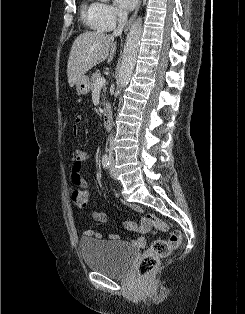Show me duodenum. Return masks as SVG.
<instances>
[{
  "label": "duodenum",
  "instance_id": "410a0bca",
  "mask_svg": "<svg viewBox=\"0 0 245 314\" xmlns=\"http://www.w3.org/2000/svg\"><path fill=\"white\" fill-rule=\"evenodd\" d=\"M112 119V108L109 104H106L103 115V125L105 129L110 130L112 128Z\"/></svg>",
  "mask_w": 245,
  "mask_h": 314
}]
</instances>
